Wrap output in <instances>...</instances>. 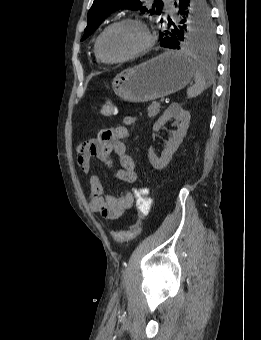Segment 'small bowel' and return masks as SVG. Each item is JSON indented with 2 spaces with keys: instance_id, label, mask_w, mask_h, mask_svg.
I'll list each match as a JSON object with an SVG mask.
<instances>
[{
  "instance_id": "obj_1",
  "label": "small bowel",
  "mask_w": 261,
  "mask_h": 340,
  "mask_svg": "<svg viewBox=\"0 0 261 340\" xmlns=\"http://www.w3.org/2000/svg\"><path fill=\"white\" fill-rule=\"evenodd\" d=\"M136 122V118L126 115L122 125L114 128L101 129L97 137L80 142L76 147L77 163L81 171L89 176L90 208L99 212L107 219H119L132 207L134 196L126 191L120 196H113L97 174L92 172V160H100L106 167L115 168L113 154L118 157L120 168L115 175L123 182L132 184L137 181L134 160L127 154L124 144L128 136V127Z\"/></svg>"
}]
</instances>
